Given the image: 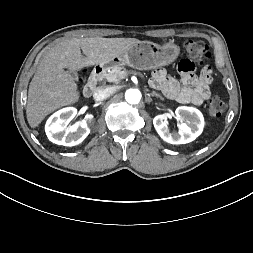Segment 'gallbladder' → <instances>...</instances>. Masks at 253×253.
<instances>
[{
    "label": "gallbladder",
    "mask_w": 253,
    "mask_h": 253,
    "mask_svg": "<svg viewBox=\"0 0 253 253\" xmlns=\"http://www.w3.org/2000/svg\"><path fill=\"white\" fill-rule=\"evenodd\" d=\"M73 78H77V74L74 71L68 70L67 71Z\"/></svg>",
    "instance_id": "bac80fb5"
}]
</instances>
